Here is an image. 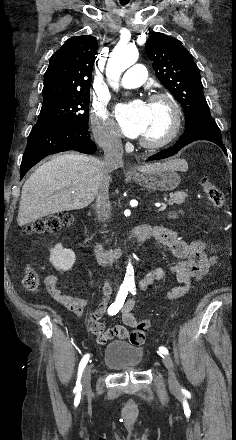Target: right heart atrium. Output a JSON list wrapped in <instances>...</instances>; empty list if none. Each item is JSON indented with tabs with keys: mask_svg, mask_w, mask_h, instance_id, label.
<instances>
[{
	"mask_svg": "<svg viewBox=\"0 0 236 440\" xmlns=\"http://www.w3.org/2000/svg\"><path fill=\"white\" fill-rule=\"evenodd\" d=\"M91 127L96 142L104 149L115 151L119 147V134L105 105L96 103L92 108Z\"/></svg>",
	"mask_w": 236,
	"mask_h": 440,
	"instance_id": "obj_1",
	"label": "right heart atrium"
}]
</instances>
